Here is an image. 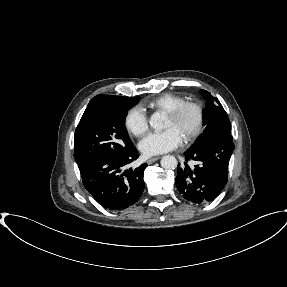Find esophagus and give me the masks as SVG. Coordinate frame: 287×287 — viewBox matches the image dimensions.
<instances>
[{
  "label": "esophagus",
  "instance_id": "1",
  "mask_svg": "<svg viewBox=\"0 0 287 287\" xmlns=\"http://www.w3.org/2000/svg\"><path fill=\"white\" fill-rule=\"evenodd\" d=\"M159 159H160V156L152 157V158H149V159L147 160V163H148V164H152L153 162H155V161H157V160H159Z\"/></svg>",
  "mask_w": 287,
  "mask_h": 287
}]
</instances>
